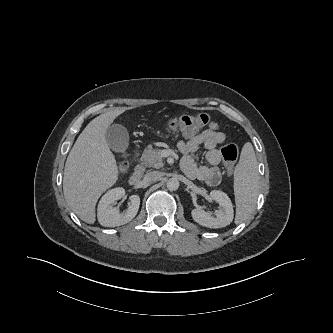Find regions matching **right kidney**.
Here are the masks:
<instances>
[{"label": "right kidney", "instance_id": "ca27d5eb", "mask_svg": "<svg viewBox=\"0 0 333 333\" xmlns=\"http://www.w3.org/2000/svg\"><path fill=\"white\" fill-rule=\"evenodd\" d=\"M125 195L122 187L114 188L105 193L98 204L97 217L99 223L104 227H116L130 222L137 214L140 197L130 196V205L127 210L120 213L119 209L113 207L114 203Z\"/></svg>", "mask_w": 333, "mask_h": 333}]
</instances>
